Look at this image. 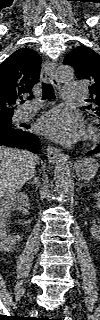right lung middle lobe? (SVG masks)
Listing matches in <instances>:
<instances>
[{
    "instance_id": "1",
    "label": "right lung middle lobe",
    "mask_w": 100,
    "mask_h": 320,
    "mask_svg": "<svg viewBox=\"0 0 100 320\" xmlns=\"http://www.w3.org/2000/svg\"><path fill=\"white\" fill-rule=\"evenodd\" d=\"M28 128V125L26 124H21L20 126L16 127L12 124V119L7 118V119H0V133L7 131V132H12V133H19L22 132L23 130H26Z\"/></svg>"
}]
</instances>
